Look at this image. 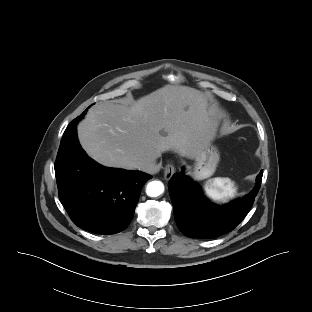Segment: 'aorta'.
Here are the masks:
<instances>
[{"label": "aorta", "instance_id": "1", "mask_svg": "<svg viewBox=\"0 0 312 312\" xmlns=\"http://www.w3.org/2000/svg\"><path fill=\"white\" fill-rule=\"evenodd\" d=\"M164 192V184L161 181H151L147 184L146 194L149 197H158Z\"/></svg>", "mask_w": 312, "mask_h": 312}]
</instances>
